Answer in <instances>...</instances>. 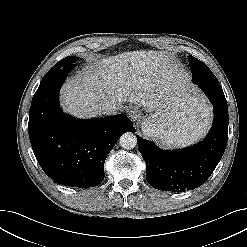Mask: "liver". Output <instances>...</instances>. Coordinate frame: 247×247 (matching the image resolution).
I'll use <instances>...</instances> for the list:
<instances>
[{
  "mask_svg": "<svg viewBox=\"0 0 247 247\" xmlns=\"http://www.w3.org/2000/svg\"><path fill=\"white\" fill-rule=\"evenodd\" d=\"M185 83L171 58L162 51H131L98 60L94 68L79 72L68 79L61 91L65 111L79 118L102 114L101 106L113 102L121 108L130 102L153 112L165 101L173 99L172 90ZM184 110L192 117L198 112L197 105L189 102ZM209 114V108L206 110ZM197 129L206 127L209 121Z\"/></svg>",
  "mask_w": 247,
  "mask_h": 247,
  "instance_id": "1",
  "label": "liver"
}]
</instances>
